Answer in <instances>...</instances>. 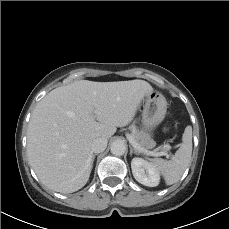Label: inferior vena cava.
Here are the masks:
<instances>
[{
    "label": "inferior vena cava",
    "mask_w": 229,
    "mask_h": 229,
    "mask_svg": "<svg viewBox=\"0 0 229 229\" xmlns=\"http://www.w3.org/2000/svg\"><path fill=\"white\" fill-rule=\"evenodd\" d=\"M107 147V139L99 137L92 141L91 151L94 153L103 152Z\"/></svg>",
    "instance_id": "obj_1"
}]
</instances>
